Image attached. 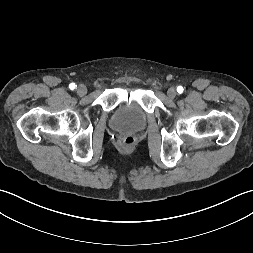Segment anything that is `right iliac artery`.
Instances as JSON below:
<instances>
[{"mask_svg":"<svg viewBox=\"0 0 253 253\" xmlns=\"http://www.w3.org/2000/svg\"><path fill=\"white\" fill-rule=\"evenodd\" d=\"M69 88H70L71 90H74V89L76 88V85H75L74 83H71V84L69 85Z\"/></svg>","mask_w":253,"mask_h":253,"instance_id":"right-iliac-artery-1","label":"right iliac artery"}]
</instances>
